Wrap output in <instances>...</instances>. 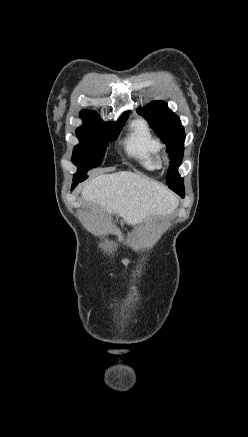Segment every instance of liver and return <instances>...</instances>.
<instances>
[{
    "instance_id": "liver-1",
    "label": "liver",
    "mask_w": 248,
    "mask_h": 437,
    "mask_svg": "<svg viewBox=\"0 0 248 437\" xmlns=\"http://www.w3.org/2000/svg\"><path fill=\"white\" fill-rule=\"evenodd\" d=\"M82 197L131 225L170 214L178 205L177 198L166 186L130 171L95 177L82 190Z\"/></svg>"
}]
</instances>
